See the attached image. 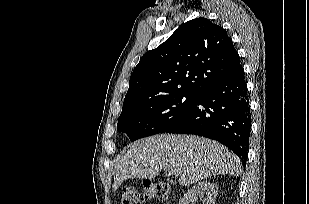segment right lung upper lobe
Returning a JSON list of instances; mask_svg holds the SVG:
<instances>
[{"label": "right lung upper lobe", "mask_w": 309, "mask_h": 204, "mask_svg": "<svg viewBox=\"0 0 309 204\" xmlns=\"http://www.w3.org/2000/svg\"><path fill=\"white\" fill-rule=\"evenodd\" d=\"M241 67L227 32L206 18L181 25L134 68L124 103L176 92L199 94Z\"/></svg>", "instance_id": "1"}]
</instances>
